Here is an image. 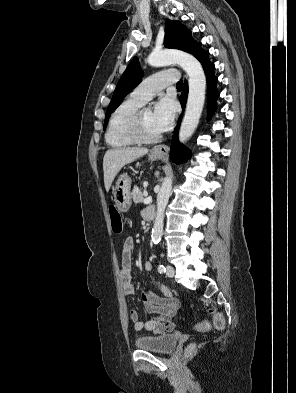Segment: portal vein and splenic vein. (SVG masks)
I'll use <instances>...</instances> for the list:
<instances>
[{"label": "portal vein and splenic vein", "mask_w": 296, "mask_h": 393, "mask_svg": "<svg viewBox=\"0 0 296 393\" xmlns=\"http://www.w3.org/2000/svg\"><path fill=\"white\" fill-rule=\"evenodd\" d=\"M151 200V197H147L144 201L149 202Z\"/></svg>", "instance_id": "1"}]
</instances>
